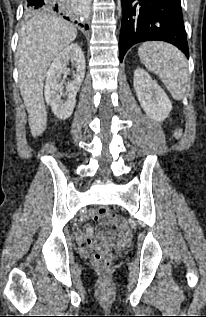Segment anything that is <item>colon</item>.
<instances>
[{"instance_id":"colon-1","label":"colon","mask_w":206,"mask_h":317,"mask_svg":"<svg viewBox=\"0 0 206 317\" xmlns=\"http://www.w3.org/2000/svg\"><path fill=\"white\" fill-rule=\"evenodd\" d=\"M96 215L101 221H111L118 227L124 225L123 220L121 218L111 216L110 211L107 208H98L96 210ZM92 261L98 269L107 270L112 267L114 258L110 252L98 249L97 244L95 243L93 245Z\"/></svg>"}]
</instances>
